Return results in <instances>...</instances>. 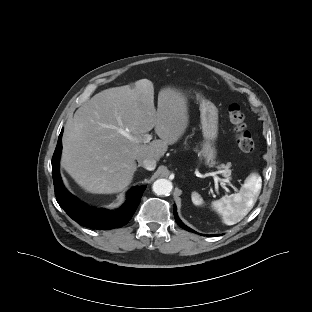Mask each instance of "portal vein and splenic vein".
<instances>
[{"mask_svg":"<svg viewBox=\"0 0 312 312\" xmlns=\"http://www.w3.org/2000/svg\"><path fill=\"white\" fill-rule=\"evenodd\" d=\"M119 132H120V134H122L123 136H125L126 138H128L131 141H136L137 140L127 130H120ZM151 139H152V135L151 134H145L144 137H143V142L144 143H148ZM213 176H214L215 182H220V185L224 189H227L226 186H225L227 180L219 178L216 174H213Z\"/></svg>","mask_w":312,"mask_h":312,"instance_id":"1","label":"portal vein and splenic vein"}]
</instances>
